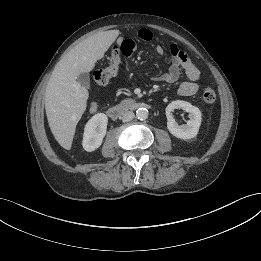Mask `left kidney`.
Here are the masks:
<instances>
[{
    "label": "left kidney",
    "mask_w": 261,
    "mask_h": 261,
    "mask_svg": "<svg viewBox=\"0 0 261 261\" xmlns=\"http://www.w3.org/2000/svg\"><path fill=\"white\" fill-rule=\"evenodd\" d=\"M174 109H182L189 113L187 124L179 126L172 117ZM167 128L169 132L180 139H191L196 137L201 125V111L189 102L176 100L166 107Z\"/></svg>",
    "instance_id": "left-kidney-1"
}]
</instances>
